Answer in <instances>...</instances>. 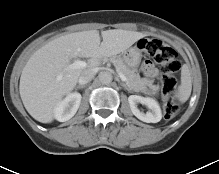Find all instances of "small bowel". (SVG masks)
<instances>
[{"instance_id": "obj_1", "label": "small bowel", "mask_w": 219, "mask_h": 174, "mask_svg": "<svg viewBox=\"0 0 219 174\" xmlns=\"http://www.w3.org/2000/svg\"><path fill=\"white\" fill-rule=\"evenodd\" d=\"M143 72L149 78H155L158 76V70L151 61H145L143 63Z\"/></svg>"}]
</instances>
